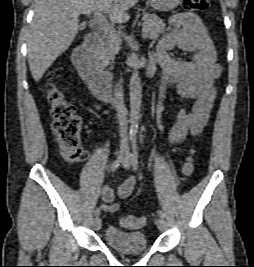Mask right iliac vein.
Instances as JSON below:
<instances>
[{
  "label": "right iliac vein",
  "mask_w": 254,
  "mask_h": 267,
  "mask_svg": "<svg viewBox=\"0 0 254 267\" xmlns=\"http://www.w3.org/2000/svg\"><path fill=\"white\" fill-rule=\"evenodd\" d=\"M122 153H123V149H120L117 154H118V158H121L122 156ZM102 226V221H101V218L100 217H96L94 220H93V228L98 231L100 230Z\"/></svg>",
  "instance_id": "obj_1"
}]
</instances>
